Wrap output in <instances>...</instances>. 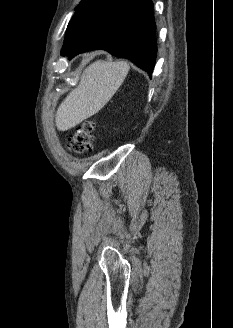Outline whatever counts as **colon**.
<instances>
[{
  "instance_id": "5ec220e1",
  "label": "colon",
  "mask_w": 233,
  "mask_h": 328,
  "mask_svg": "<svg viewBox=\"0 0 233 328\" xmlns=\"http://www.w3.org/2000/svg\"><path fill=\"white\" fill-rule=\"evenodd\" d=\"M93 123L83 121L68 138V147L76 153H82L91 149Z\"/></svg>"
}]
</instances>
